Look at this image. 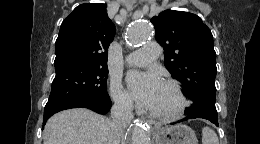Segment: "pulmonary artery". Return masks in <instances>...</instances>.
I'll list each match as a JSON object with an SVG mask.
<instances>
[{
    "mask_svg": "<svg viewBox=\"0 0 260 144\" xmlns=\"http://www.w3.org/2000/svg\"><path fill=\"white\" fill-rule=\"evenodd\" d=\"M161 53V48L157 43H148L141 49L131 53L127 57V62L130 65L143 67L154 62Z\"/></svg>",
    "mask_w": 260,
    "mask_h": 144,
    "instance_id": "e3ab8cb5",
    "label": "pulmonary artery"
}]
</instances>
